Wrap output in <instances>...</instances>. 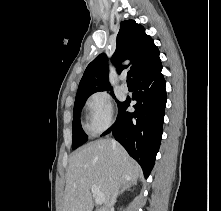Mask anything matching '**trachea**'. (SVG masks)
Returning <instances> with one entry per match:
<instances>
[{"instance_id":"3493384b","label":"trachea","mask_w":221,"mask_h":211,"mask_svg":"<svg viewBox=\"0 0 221 211\" xmlns=\"http://www.w3.org/2000/svg\"><path fill=\"white\" fill-rule=\"evenodd\" d=\"M127 82H132L131 71H128V73H127Z\"/></svg>"}]
</instances>
